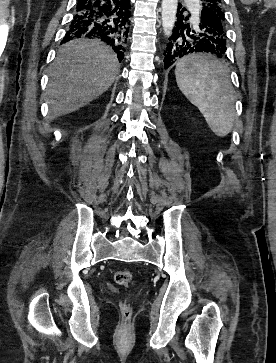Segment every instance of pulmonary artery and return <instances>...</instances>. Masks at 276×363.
Here are the masks:
<instances>
[{
	"mask_svg": "<svg viewBox=\"0 0 276 363\" xmlns=\"http://www.w3.org/2000/svg\"><path fill=\"white\" fill-rule=\"evenodd\" d=\"M195 1H196V0H188V2H189L190 4H193V5H195V6H196V5H197V2L195 3ZM194 13H197V10H195V11H194Z\"/></svg>",
	"mask_w": 276,
	"mask_h": 363,
	"instance_id": "e3ab8cb5",
	"label": "pulmonary artery"
}]
</instances>
